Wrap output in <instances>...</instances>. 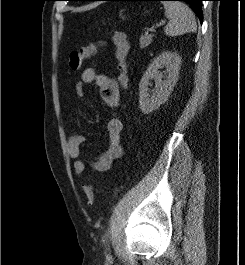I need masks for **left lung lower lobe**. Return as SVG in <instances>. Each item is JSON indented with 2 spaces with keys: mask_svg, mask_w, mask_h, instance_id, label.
Returning <instances> with one entry per match:
<instances>
[{
  "mask_svg": "<svg viewBox=\"0 0 245 265\" xmlns=\"http://www.w3.org/2000/svg\"><path fill=\"white\" fill-rule=\"evenodd\" d=\"M80 1H100V0H80ZM107 1H133V0H107ZM155 1H163V0H155ZM178 1H184L188 3L192 9L195 11V13L199 16V19L203 20V14H202V5L201 2L204 0H178Z\"/></svg>",
  "mask_w": 245,
  "mask_h": 265,
  "instance_id": "obj_1",
  "label": "left lung lower lobe"
}]
</instances>
